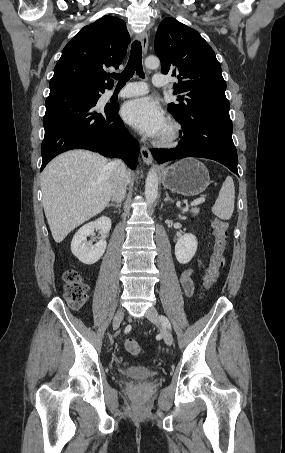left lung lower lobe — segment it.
Masks as SVG:
<instances>
[{
  "instance_id": "left-lung-lower-lobe-1",
  "label": "left lung lower lobe",
  "mask_w": 285,
  "mask_h": 453,
  "mask_svg": "<svg viewBox=\"0 0 285 453\" xmlns=\"http://www.w3.org/2000/svg\"><path fill=\"white\" fill-rule=\"evenodd\" d=\"M176 119L183 129L180 142L175 148L152 150L159 163L201 157L218 161L238 175L237 151L232 140L229 115L195 112L190 117Z\"/></svg>"
}]
</instances>
